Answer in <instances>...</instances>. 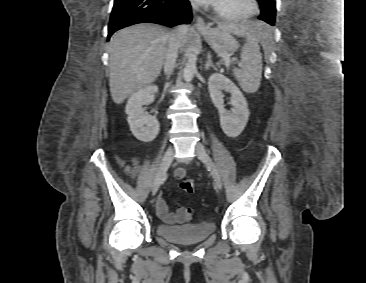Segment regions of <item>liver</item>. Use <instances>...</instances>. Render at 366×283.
I'll return each instance as SVG.
<instances>
[{"instance_id": "obj_1", "label": "liver", "mask_w": 366, "mask_h": 283, "mask_svg": "<svg viewBox=\"0 0 366 283\" xmlns=\"http://www.w3.org/2000/svg\"><path fill=\"white\" fill-rule=\"evenodd\" d=\"M218 27L238 37L267 36L268 28L250 22L219 23ZM172 31L153 23H140L115 33L109 42V86L113 101L121 104L130 94L159 76ZM188 30L182 39V47Z\"/></svg>"}]
</instances>
